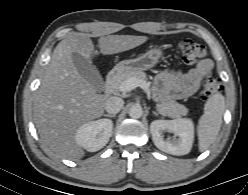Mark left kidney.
I'll list each match as a JSON object with an SVG mask.
<instances>
[{
  "label": "left kidney",
  "mask_w": 248,
  "mask_h": 195,
  "mask_svg": "<svg viewBox=\"0 0 248 195\" xmlns=\"http://www.w3.org/2000/svg\"><path fill=\"white\" fill-rule=\"evenodd\" d=\"M150 131L155 146L172 155H185L191 150L194 140V124L191 119L155 120L150 125ZM178 136L176 140L164 139V132Z\"/></svg>",
  "instance_id": "left-kidney-1"
}]
</instances>
